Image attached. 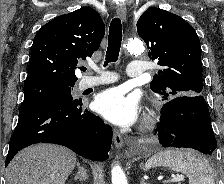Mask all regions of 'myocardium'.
I'll use <instances>...</instances> for the list:
<instances>
[{
    "label": "myocardium",
    "instance_id": "1",
    "mask_svg": "<svg viewBox=\"0 0 224 184\" xmlns=\"http://www.w3.org/2000/svg\"><path fill=\"white\" fill-rule=\"evenodd\" d=\"M157 115L153 112H148L144 115L143 121H142V130L143 131H150L155 127V124L157 122Z\"/></svg>",
    "mask_w": 224,
    "mask_h": 184
}]
</instances>
